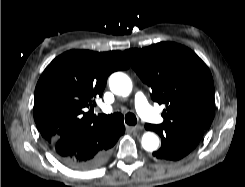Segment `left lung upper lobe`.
Instances as JSON below:
<instances>
[{
	"instance_id": "5c2ea615",
	"label": "left lung upper lobe",
	"mask_w": 245,
	"mask_h": 187,
	"mask_svg": "<svg viewBox=\"0 0 245 187\" xmlns=\"http://www.w3.org/2000/svg\"><path fill=\"white\" fill-rule=\"evenodd\" d=\"M124 54L151 97L163 110L170 128L209 129L215 113L214 83L206 64L185 46L160 42Z\"/></svg>"
}]
</instances>
